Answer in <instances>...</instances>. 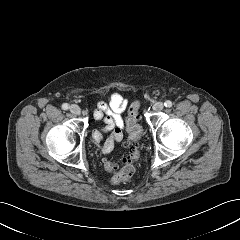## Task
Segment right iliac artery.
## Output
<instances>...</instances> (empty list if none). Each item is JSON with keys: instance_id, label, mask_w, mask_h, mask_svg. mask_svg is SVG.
<instances>
[{"instance_id": "obj_1", "label": "right iliac artery", "mask_w": 240, "mask_h": 240, "mask_svg": "<svg viewBox=\"0 0 240 240\" xmlns=\"http://www.w3.org/2000/svg\"><path fill=\"white\" fill-rule=\"evenodd\" d=\"M62 109H63V110H68V109H69V104L64 103V104L62 105Z\"/></svg>"}]
</instances>
